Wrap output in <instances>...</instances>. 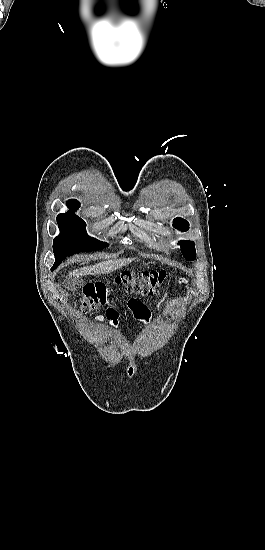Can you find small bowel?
Here are the masks:
<instances>
[{
    "label": "small bowel",
    "mask_w": 265,
    "mask_h": 550,
    "mask_svg": "<svg viewBox=\"0 0 265 550\" xmlns=\"http://www.w3.org/2000/svg\"><path fill=\"white\" fill-rule=\"evenodd\" d=\"M131 303H135L136 305L130 307L133 311V313L136 315L137 318L141 320H147L148 318V311L147 308L140 303H137L135 301H132Z\"/></svg>",
    "instance_id": "c3829d8e"
}]
</instances>
